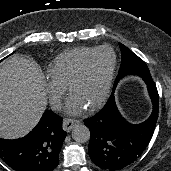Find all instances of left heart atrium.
Masks as SVG:
<instances>
[{
	"instance_id": "obj_1",
	"label": "left heart atrium",
	"mask_w": 171,
	"mask_h": 171,
	"mask_svg": "<svg viewBox=\"0 0 171 171\" xmlns=\"http://www.w3.org/2000/svg\"><path fill=\"white\" fill-rule=\"evenodd\" d=\"M86 108L87 106L77 96L70 94L65 105L66 113L78 115L81 114Z\"/></svg>"
}]
</instances>
